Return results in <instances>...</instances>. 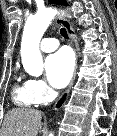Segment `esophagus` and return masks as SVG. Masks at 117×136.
Instances as JSON below:
<instances>
[{
    "label": "esophagus",
    "instance_id": "esophagus-1",
    "mask_svg": "<svg viewBox=\"0 0 117 136\" xmlns=\"http://www.w3.org/2000/svg\"><path fill=\"white\" fill-rule=\"evenodd\" d=\"M55 21L57 23H59L62 27H64L67 32H68V35L70 36V38L72 39V41L74 42V48H75V51L78 52V46H77V40H76V32L73 28V26L71 25V23L60 17V16H56L55 17ZM75 77H76V71L74 72V75L70 81V84L67 88V90L60 96V98L56 101L55 105H54V109L57 110L59 109L64 103L65 101L67 100L68 96H69V93H70V90L74 84V81H75Z\"/></svg>",
    "mask_w": 117,
    "mask_h": 136
}]
</instances>
